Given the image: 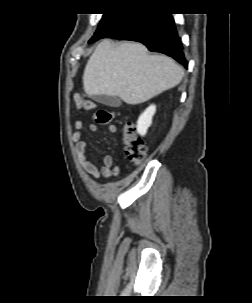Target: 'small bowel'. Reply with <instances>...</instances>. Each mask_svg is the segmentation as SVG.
<instances>
[{"label":"small bowel","mask_w":252,"mask_h":303,"mask_svg":"<svg viewBox=\"0 0 252 303\" xmlns=\"http://www.w3.org/2000/svg\"><path fill=\"white\" fill-rule=\"evenodd\" d=\"M85 122L83 120H77L75 122V129L72 131L71 138L75 142V153L77 159L83 168V170L91 177L99 178L103 177H115L118 176L121 169L118 165L113 164V158L107 155L103 158V165L99 168L96 164L90 161L86 156V151L88 148L87 143L82 140V128ZM98 126L95 124L90 125V130L93 132L98 131ZM108 131L112 134L117 132V126L110 124L107 127Z\"/></svg>","instance_id":"obj_1"}]
</instances>
